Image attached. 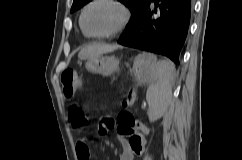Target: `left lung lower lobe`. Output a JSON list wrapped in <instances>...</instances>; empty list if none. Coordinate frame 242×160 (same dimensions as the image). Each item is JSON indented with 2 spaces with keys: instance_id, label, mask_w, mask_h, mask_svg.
<instances>
[{
  "instance_id": "left-lung-lower-lobe-1",
  "label": "left lung lower lobe",
  "mask_w": 242,
  "mask_h": 160,
  "mask_svg": "<svg viewBox=\"0 0 242 160\" xmlns=\"http://www.w3.org/2000/svg\"><path fill=\"white\" fill-rule=\"evenodd\" d=\"M192 9V0H148L118 43L170 58L179 64Z\"/></svg>"
}]
</instances>
